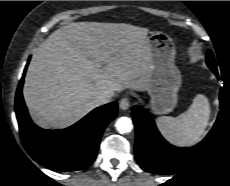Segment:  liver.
Returning <instances> with one entry per match:
<instances>
[{
	"label": "liver",
	"instance_id": "liver-1",
	"mask_svg": "<svg viewBox=\"0 0 230 186\" xmlns=\"http://www.w3.org/2000/svg\"><path fill=\"white\" fill-rule=\"evenodd\" d=\"M149 31L125 23L77 22L54 31L33 54L23 95L42 128L69 127L99 106L100 94L145 91Z\"/></svg>",
	"mask_w": 230,
	"mask_h": 186
}]
</instances>
